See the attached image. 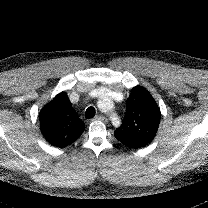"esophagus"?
Listing matches in <instances>:
<instances>
[{
    "label": "esophagus",
    "mask_w": 208,
    "mask_h": 208,
    "mask_svg": "<svg viewBox=\"0 0 208 208\" xmlns=\"http://www.w3.org/2000/svg\"><path fill=\"white\" fill-rule=\"evenodd\" d=\"M94 120L107 121V118L103 115H97L95 116Z\"/></svg>",
    "instance_id": "obj_1"
}]
</instances>
